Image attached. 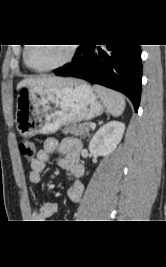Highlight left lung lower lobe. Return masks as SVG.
I'll return each instance as SVG.
<instances>
[{"label":"left lung lower lobe","instance_id":"0a47b994","mask_svg":"<svg viewBox=\"0 0 166 267\" xmlns=\"http://www.w3.org/2000/svg\"><path fill=\"white\" fill-rule=\"evenodd\" d=\"M74 58V62L53 72L120 91L138 110L142 78L140 45H80Z\"/></svg>","mask_w":166,"mask_h":267}]
</instances>
